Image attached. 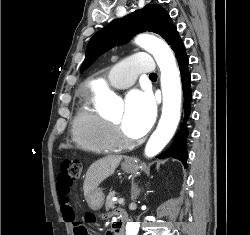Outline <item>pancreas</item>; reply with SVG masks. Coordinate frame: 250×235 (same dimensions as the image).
<instances>
[{"label":"pancreas","mask_w":250,"mask_h":235,"mask_svg":"<svg viewBox=\"0 0 250 235\" xmlns=\"http://www.w3.org/2000/svg\"><path fill=\"white\" fill-rule=\"evenodd\" d=\"M116 192L112 191L108 194L106 201H105V206L106 208H115V203L113 202L112 198L115 196Z\"/></svg>","instance_id":"1"}]
</instances>
